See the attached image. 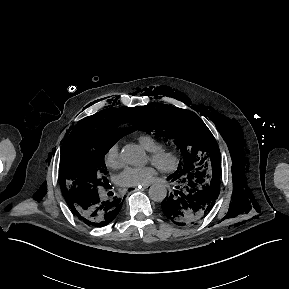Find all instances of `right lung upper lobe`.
Segmentation results:
<instances>
[{
    "mask_svg": "<svg viewBox=\"0 0 289 289\" xmlns=\"http://www.w3.org/2000/svg\"><path fill=\"white\" fill-rule=\"evenodd\" d=\"M135 110L136 107L125 106L121 108H108L82 119L73 128L70 135H67L68 138L64 141L61 149L64 151L71 140L84 131H98L112 128L125 133L135 131L137 129V125L135 124L137 119Z\"/></svg>",
    "mask_w": 289,
    "mask_h": 289,
    "instance_id": "right-lung-upper-lobe-1",
    "label": "right lung upper lobe"
}]
</instances>
